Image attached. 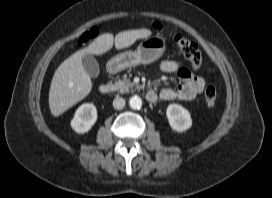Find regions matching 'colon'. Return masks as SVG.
I'll list each match as a JSON object with an SVG mask.
<instances>
[{
	"label": "colon",
	"mask_w": 272,
	"mask_h": 198,
	"mask_svg": "<svg viewBox=\"0 0 272 198\" xmlns=\"http://www.w3.org/2000/svg\"><path fill=\"white\" fill-rule=\"evenodd\" d=\"M98 34V30L96 28H92L89 31L85 32L81 37L79 38L78 44L83 45L86 42L94 39ZM175 42L180 49L181 53L185 56V58L189 61L191 67L194 70H197L200 68L202 63V56L200 49L198 45L181 36L177 35L175 37ZM217 99V92L216 89L213 86H207L203 92V101L205 105L211 107L214 106Z\"/></svg>",
	"instance_id": "1"
}]
</instances>
